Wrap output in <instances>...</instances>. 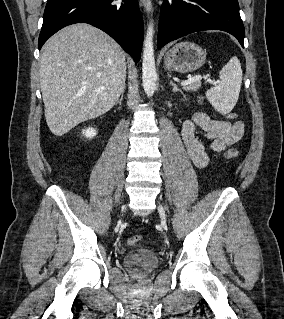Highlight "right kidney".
Segmentation results:
<instances>
[{
    "label": "right kidney",
    "instance_id": "1",
    "mask_svg": "<svg viewBox=\"0 0 284 319\" xmlns=\"http://www.w3.org/2000/svg\"><path fill=\"white\" fill-rule=\"evenodd\" d=\"M83 135H85L87 138H93L96 136V130L93 128H87L86 130H83Z\"/></svg>",
    "mask_w": 284,
    "mask_h": 319
}]
</instances>
